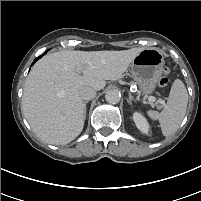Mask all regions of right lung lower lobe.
Instances as JSON below:
<instances>
[{"instance_id":"right-lung-lower-lobe-1","label":"right lung lower lobe","mask_w":201,"mask_h":201,"mask_svg":"<svg viewBox=\"0 0 201 201\" xmlns=\"http://www.w3.org/2000/svg\"><path fill=\"white\" fill-rule=\"evenodd\" d=\"M43 55H41V56H39L38 58H36L35 60H34V62L32 63V65L39 59V58H41Z\"/></svg>"}]
</instances>
